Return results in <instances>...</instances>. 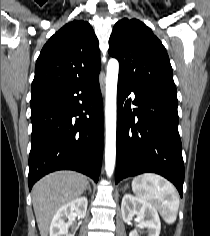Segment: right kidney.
<instances>
[{"label":"right kidney","instance_id":"right-kidney-1","mask_svg":"<svg viewBox=\"0 0 210 236\" xmlns=\"http://www.w3.org/2000/svg\"><path fill=\"white\" fill-rule=\"evenodd\" d=\"M88 200L86 197L74 199L60 207L51 222L50 236H73L68 233L70 222L75 218H84L86 215ZM69 222L66 223L65 220Z\"/></svg>","mask_w":210,"mask_h":236}]
</instances>
